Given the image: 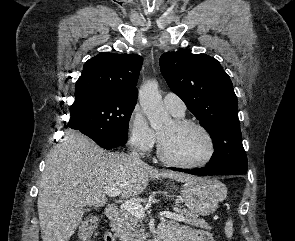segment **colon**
<instances>
[{"label":"colon","instance_id":"obj_1","mask_svg":"<svg viewBox=\"0 0 295 241\" xmlns=\"http://www.w3.org/2000/svg\"><path fill=\"white\" fill-rule=\"evenodd\" d=\"M98 222L96 218H87L81 225L80 229V238L82 241H89L96 228H97Z\"/></svg>","mask_w":295,"mask_h":241}]
</instances>
